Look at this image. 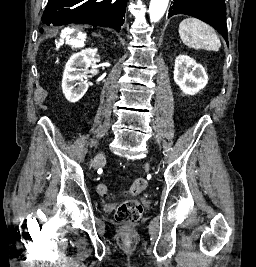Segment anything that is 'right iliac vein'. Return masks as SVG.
Segmentation results:
<instances>
[{
  "mask_svg": "<svg viewBox=\"0 0 256 267\" xmlns=\"http://www.w3.org/2000/svg\"><path fill=\"white\" fill-rule=\"evenodd\" d=\"M104 155H105L104 152H100L99 154H97V155L94 157L93 162H92L94 168H98V167L100 166L101 161H102L103 158H104Z\"/></svg>",
  "mask_w": 256,
  "mask_h": 267,
  "instance_id": "1",
  "label": "right iliac vein"
}]
</instances>
